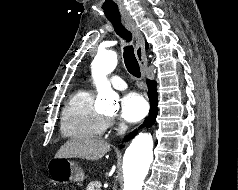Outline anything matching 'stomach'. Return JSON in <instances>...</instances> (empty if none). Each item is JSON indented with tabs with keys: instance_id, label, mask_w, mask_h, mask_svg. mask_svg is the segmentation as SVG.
<instances>
[{
	"instance_id": "stomach-1",
	"label": "stomach",
	"mask_w": 238,
	"mask_h": 190,
	"mask_svg": "<svg viewBox=\"0 0 238 190\" xmlns=\"http://www.w3.org/2000/svg\"><path fill=\"white\" fill-rule=\"evenodd\" d=\"M51 179L59 184L82 182L85 179L83 169L74 161L65 158H54L47 164Z\"/></svg>"
}]
</instances>
